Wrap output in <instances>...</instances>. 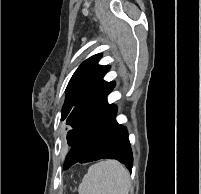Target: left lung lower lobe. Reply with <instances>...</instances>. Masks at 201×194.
<instances>
[{"label": "left lung lower lobe", "mask_w": 201, "mask_h": 194, "mask_svg": "<svg viewBox=\"0 0 201 194\" xmlns=\"http://www.w3.org/2000/svg\"><path fill=\"white\" fill-rule=\"evenodd\" d=\"M117 107L106 104L88 119L72 137H67L72 145L64 169L76 163H86L102 158L117 159L129 171L132 170L133 156L127 129L116 120Z\"/></svg>", "instance_id": "0a47b994"}]
</instances>
